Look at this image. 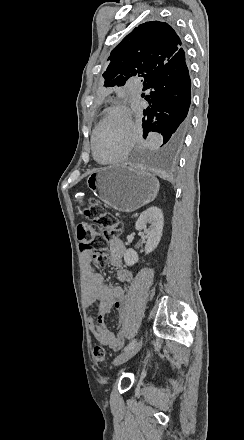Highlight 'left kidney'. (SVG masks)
<instances>
[{
  "label": "left kidney",
  "instance_id": "left-kidney-1",
  "mask_svg": "<svg viewBox=\"0 0 244 440\" xmlns=\"http://www.w3.org/2000/svg\"><path fill=\"white\" fill-rule=\"evenodd\" d=\"M146 224H151L150 228H147ZM163 226L164 216L162 210L157 208V206H151V208H148L139 216L135 224V230H143L144 234H146L145 254H150V252L157 248L161 240ZM138 260V254L135 250H126L124 254L126 266H133Z\"/></svg>",
  "mask_w": 244,
  "mask_h": 440
}]
</instances>
